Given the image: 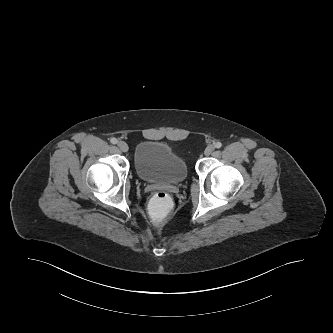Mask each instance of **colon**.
<instances>
[{
	"instance_id": "1",
	"label": "colon",
	"mask_w": 333,
	"mask_h": 333,
	"mask_svg": "<svg viewBox=\"0 0 333 333\" xmlns=\"http://www.w3.org/2000/svg\"><path fill=\"white\" fill-rule=\"evenodd\" d=\"M175 206L176 201L171 194L164 191L156 192L147 207L151 222L158 227L166 226L170 222V213Z\"/></svg>"
}]
</instances>
